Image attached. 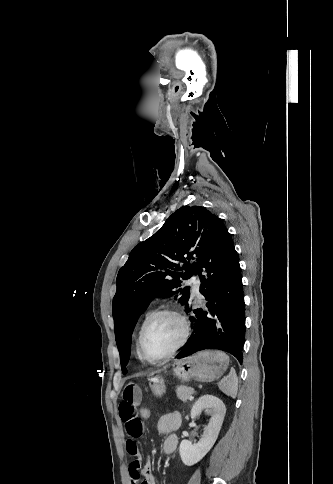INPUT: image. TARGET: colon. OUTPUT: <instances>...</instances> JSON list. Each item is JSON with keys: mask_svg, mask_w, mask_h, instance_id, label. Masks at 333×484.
<instances>
[{"mask_svg": "<svg viewBox=\"0 0 333 484\" xmlns=\"http://www.w3.org/2000/svg\"><path fill=\"white\" fill-rule=\"evenodd\" d=\"M152 417V412L149 408L143 407L140 410V419L143 422H148Z\"/></svg>", "mask_w": 333, "mask_h": 484, "instance_id": "colon-1", "label": "colon"}]
</instances>
